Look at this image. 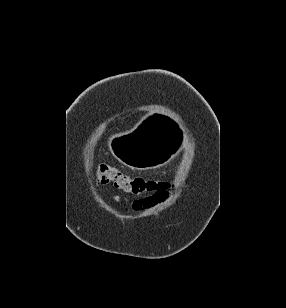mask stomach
<instances>
[{"label":"stomach","mask_w":286,"mask_h":308,"mask_svg":"<svg viewBox=\"0 0 286 308\" xmlns=\"http://www.w3.org/2000/svg\"><path fill=\"white\" fill-rule=\"evenodd\" d=\"M151 118H133L134 137L130 130H113L109 143L119 164L132 169L156 168L168 164L169 153H182L187 144L183 137H172V132H182L180 118L174 112H151Z\"/></svg>","instance_id":"0dacf381"}]
</instances>
